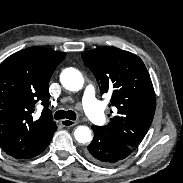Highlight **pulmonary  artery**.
<instances>
[{
	"label": "pulmonary artery",
	"mask_w": 183,
	"mask_h": 183,
	"mask_svg": "<svg viewBox=\"0 0 183 183\" xmlns=\"http://www.w3.org/2000/svg\"><path fill=\"white\" fill-rule=\"evenodd\" d=\"M82 107L88 118L95 124L104 123L105 116L100 103L96 99L92 85L86 86L83 94Z\"/></svg>",
	"instance_id": "e3ab8cb5"
}]
</instances>
